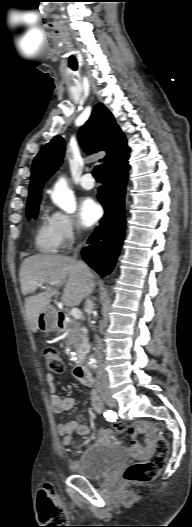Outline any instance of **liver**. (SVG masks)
Instances as JSON below:
<instances>
[{
	"instance_id": "1",
	"label": "liver",
	"mask_w": 192,
	"mask_h": 527,
	"mask_svg": "<svg viewBox=\"0 0 192 527\" xmlns=\"http://www.w3.org/2000/svg\"><path fill=\"white\" fill-rule=\"evenodd\" d=\"M19 279L24 296L34 293L41 284L44 290L25 298L26 320L32 332L38 331V317L48 307L59 287H63L61 301L68 307L80 305L94 289V275L81 261L63 255H33L21 264ZM57 281L56 287L49 284Z\"/></svg>"
}]
</instances>
